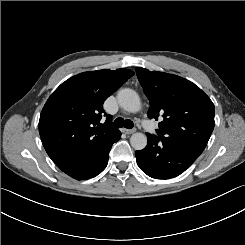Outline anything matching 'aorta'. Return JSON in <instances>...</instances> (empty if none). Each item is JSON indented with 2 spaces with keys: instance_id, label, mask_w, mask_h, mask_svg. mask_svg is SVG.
I'll return each instance as SVG.
<instances>
[{
  "instance_id": "1",
  "label": "aorta",
  "mask_w": 245,
  "mask_h": 245,
  "mask_svg": "<svg viewBox=\"0 0 245 245\" xmlns=\"http://www.w3.org/2000/svg\"><path fill=\"white\" fill-rule=\"evenodd\" d=\"M118 103L128 112L135 113L141 109V102L138 94L129 88L121 89L117 94ZM130 144L135 150H142L147 145L145 134L137 132L130 138Z\"/></svg>"
}]
</instances>
